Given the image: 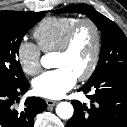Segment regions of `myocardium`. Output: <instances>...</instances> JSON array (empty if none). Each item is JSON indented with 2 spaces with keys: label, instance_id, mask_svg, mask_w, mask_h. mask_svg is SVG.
I'll list each match as a JSON object with an SVG mask.
<instances>
[{
  "label": "myocardium",
  "instance_id": "1",
  "mask_svg": "<svg viewBox=\"0 0 127 127\" xmlns=\"http://www.w3.org/2000/svg\"><path fill=\"white\" fill-rule=\"evenodd\" d=\"M83 26L90 27L93 32L94 49L89 66L82 74L77 76V78L81 81L87 80L92 76L99 62L102 48V36L98 25L91 19L88 18L80 19L70 28V30L66 33V35L62 39L60 45L55 50V53L57 54H66L69 51L76 34Z\"/></svg>",
  "mask_w": 127,
  "mask_h": 127
}]
</instances>
